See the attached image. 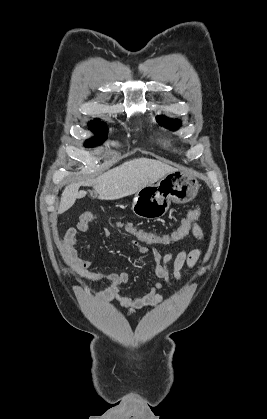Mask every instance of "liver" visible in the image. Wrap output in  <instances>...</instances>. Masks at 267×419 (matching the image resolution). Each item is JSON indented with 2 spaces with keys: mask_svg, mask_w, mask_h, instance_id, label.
I'll list each match as a JSON object with an SVG mask.
<instances>
[{
  "mask_svg": "<svg viewBox=\"0 0 267 419\" xmlns=\"http://www.w3.org/2000/svg\"><path fill=\"white\" fill-rule=\"evenodd\" d=\"M174 170L173 167L154 159L129 160L95 179L66 186L62 192L58 214L66 212L77 199L86 195L84 190L79 191L81 185L93 186L100 200H116L132 195L146 185L154 184Z\"/></svg>",
  "mask_w": 267,
  "mask_h": 419,
  "instance_id": "1",
  "label": "liver"
}]
</instances>
